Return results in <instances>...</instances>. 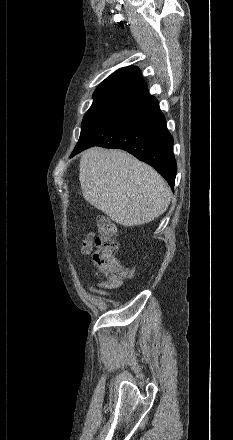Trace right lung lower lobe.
<instances>
[{
  "label": "right lung lower lobe",
  "instance_id": "98d812e1",
  "mask_svg": "<svg viewBox=\"0 0 233 440\" xmlns=\"http://www.w3.org/2000/svg\"><path fill=\"white\" fill-rule=\"evenodd\" d=\"M99 145L119 148L154 167L173 188L177 164L173 154V138L158 101L149 93L125 104L103 125L79 141L71 157Z\"/></svg>",
  "mask_w": 233,
  "mask_h": 440
}]
</instances>
